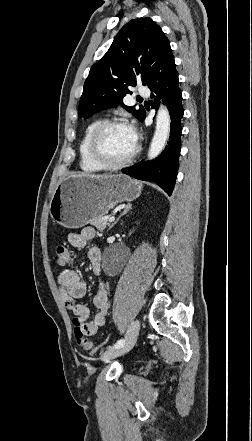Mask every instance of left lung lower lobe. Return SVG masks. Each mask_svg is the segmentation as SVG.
<instances>
[{
  "label": "left lung lower lobe",
  "instance_id": "obj_1",
  "mask_svg": "<svg viewBox=\"0 0 252 441\" xmlns=\"http://www.w3.org/2000/svg\"><path fill=\"white\" fill-rule=\"evenodd\" d=\"M178 73L170 44L164 46L158 59L154 76L148 84L153 92V107L158 108L160 100L168 106L171 118V130L168 145L159 157L152 161L139 162L122 170L123 173L136 179L152 181L171 195L179 167L180 136L183 117L182 94L178 85ZM145 116L143 117V119ZM143 119L141 121H143Z\"/></svg>",
  "mask_w": 252,
  "mask_h": 441
}]
</instances>
